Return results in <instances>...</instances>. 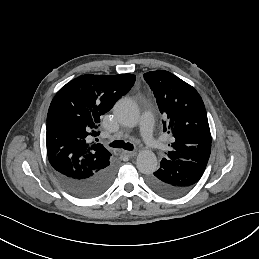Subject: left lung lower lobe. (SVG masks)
Wrapping results in <instances>:
<instances>
[{"label": "left lung lower lobe", "instance_id": "obj_1", "mask_svg": "<svg viewBox=\"0 0 259 259\" xmlns=\"http://www.w3.org/2000/svg\"><path fill=\"white\" fill-rule=\"evenodd\" d=\"M160 168L147 177L151 190L165 197L189 192L203 175L206 166L188 160L163 158Z\"/></svg>", "mask_w": 259, "mask_h": 259}]
</instances>
